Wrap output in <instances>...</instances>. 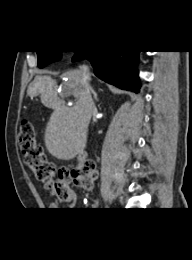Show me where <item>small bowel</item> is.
I'll return each instance as SVG.
<instances>
[{"mask_svg":"<svg viewBox=\"0 0 192 260\" xmlns=\"http://www.w3.org/2000/svg\"><path fill=\"white\" fill-rule=\"evenodd\" d=\"M77 196L75 191L71 190L69 196L65 200L54 201L50 204L51 210H57L61 203H64L68 208H72L76 202Z\"/></svg>","mask_w":192,"mask_h":260,"instance_id":"obj_1","label":"small bowel"}]
</instances>
